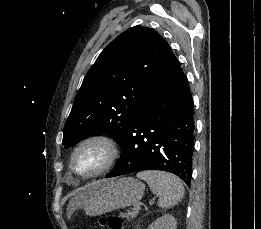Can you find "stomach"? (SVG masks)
Wrapping results in <instances>:
<instances>
[{"label": "stomach", "instance_id": "obj_1", "mask_svg": "<svg viewBox=\"0 0 261 229\" xmlns=\"http://www.w3.org/2000/svg\"><path fill=\"white\" fill-rule=\"evenodd\" d=\"M87 199L84 201V213L88 217H98L105 215L116 209H124L141 201L145 187L133 179V177H123V179H100L86 185Z\"/></svg>", "mask_w": 261, "mask_h": 229}]
</instances>
